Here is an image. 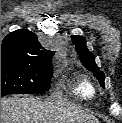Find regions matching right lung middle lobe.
I'll return each mask as SVG.
<instances>
[{
    "instance_id": "dd1d6c3e",
    "label": "right lung middle lobe",
    "mask_w": 122,
    "mask_h": 123,
    "mask_svg": "<svg viewBox=\"0 0 122 123\" xmlns=\"http://www.w3.org/2000/svg\"><path fill=\"white\" fill-rule=\"evenodd\" d=\"M52 74L50 61L1 58V96L45 92Z\"/></svg>"
}]
</instances>
